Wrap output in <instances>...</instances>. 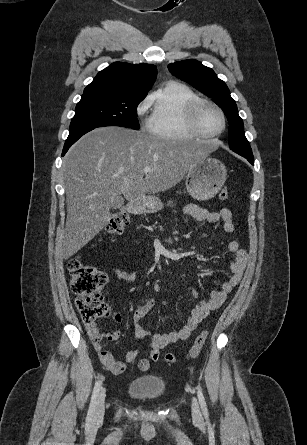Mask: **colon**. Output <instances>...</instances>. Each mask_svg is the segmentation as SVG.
<instances>
[{"instance_id":"5ec220e1","label":"colon","mask_w":307,"mask_h":445,"mask_svg":"<svg viewBox=\"0 0 307 445\" xmlns=\"http://www.w3.org/2000/svg\"><path fill=\"white\" fill-rule=\"evenodd\" d=\"M229 196V190L223 188L219 193L220 200H226ZM129 223V215L125 211L114 214L107 225V234L111 237L119 235ZM68 271L71 275L70 287L77 296L76 305L80 316L85 324L94 323L101 317H112L115 321L119 316L111 314L102 293L106 284L107 277L101 270L82 263L79 259H72L68 263ZM208 330H202L195 338L192 348L187 354L188 359L196 358L203 348L207 338ZM119 337L117 332H112L111 339L116 340ZM169 364L176 362V356L167 353L164 356Z\"/></svg>"}]
</instances>
